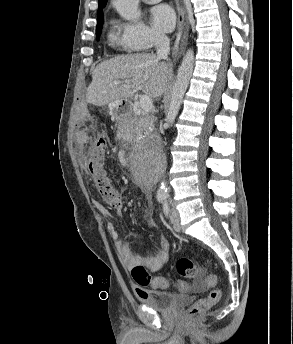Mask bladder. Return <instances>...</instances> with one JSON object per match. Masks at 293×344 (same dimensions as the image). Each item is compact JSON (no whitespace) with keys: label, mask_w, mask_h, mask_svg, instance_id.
<instances>
[{"label":"bladder","mask_w":293,"mask_h":344,"mask_svg":"<svg viewBox=\"0 0 293 344\" xmlns=\"http://www.w3.org/2000/svg\"><path fill=\"white\" fill-rule=\"evenodd\" d=\"M140 300L143 304L153 309L170 311L180 303L188 301L189 298L172 292L147 290L146 293L140 297Z\"/></svg>","instance_id":"bladder-1"}]
</instances>
